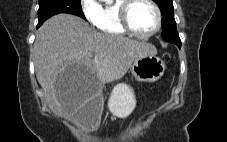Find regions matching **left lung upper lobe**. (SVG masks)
<instances>
[{"label":"left lung upper lobe","mask_w":227,"mask_h":142,"mask_svg":"<svg viewBox=\"0 0 227 142\" xmlns=\"http://www.w3.org/2000/svg\"><path fill=\"white\" fill-rule=\"evenodd\" d=\"M162 13L163 32L162 38L168 42L176 44L181 47V40L179 38L176 22L174 19L173 0H155Z\"/></svg>","instance_id":"obj_1"}]
</instances>
